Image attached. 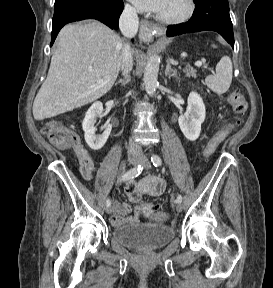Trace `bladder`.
I'll use <instances>...</instances> for the list:
<instances>
[{
	"mask_svg": "<svg viewBox=\"0 0 273 288\" xmlns=\"http://www.w3.org/2000/svg\"><path fill=\"white\" fill-rule=\"evenodd\" d=\"M175 237L173 228L150 223H129L113 228L111 238L119 246L136 251L163 248Z\"/></svg>",
	"mask_w": 273,
	"mask_h": 288,
	"instance_id": "bladder-1",
	"label": "bladder"
}]
</instances>
